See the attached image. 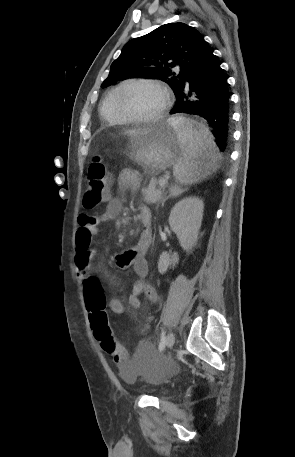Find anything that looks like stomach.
I'll return each instance as SVG.
<instances>
[{
    "label": "stomach",
    "instance_id": "1",
    "mask_svg": "<svg viewBox=\"0 0 295 457\" xmlns=\"http://www.w3.org/2000/svg\"><path fill=\"white\" fill-rule=\"evenodd\" d=\"M179 145L176 129L168 121H163L148 133L132 138L128 156L154 175L179 160Z\"/></svg>",
    "mask_w": 295,
    "mask_h": 457
}]
</instances>
